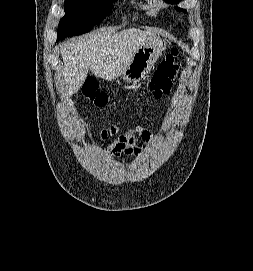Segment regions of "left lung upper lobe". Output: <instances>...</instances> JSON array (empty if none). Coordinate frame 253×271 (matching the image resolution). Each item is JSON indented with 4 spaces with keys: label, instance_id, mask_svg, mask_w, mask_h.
<instances>
[{
    "label": "left lung upper lobe",
    "instance_id": "1",
    "mask_svg": "<svg viewBox=\"0 0 253 271\" xmlns=\"http://www.w3.org/2000/svg\"><path fill=\"white\" fill-rule=\"evenodd\" d=\"M166 1L169 2V3H178L180 0H166ZM176 9L179 10V11L186 12V10H184L182 8H179V7H177Z\"/></svg>",
    "mask_w": 253,
    "mask_h": 271
}]
</instances>
